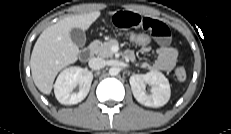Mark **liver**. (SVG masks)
<instances>
[{
	"label": "liver",
	"instance_id": "obj_1",
	"mask_svg": "<svg viewBox=\"0 0 231 134\" xmlns=\"http://www.w3.org/2000/svg\"><path fill=\"white\" fill-rule=\"evenodd\" d=\"M100 14L94 11L67 16L41 33L32 51L30 66L33 81L42 93L49 95L58 72L78 58L79 48L70 37L71 29L87 30Z\"/></svg>",
	"mask_w": 231,
	"mask_h": 134
}]
</instances>
